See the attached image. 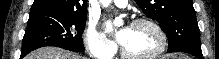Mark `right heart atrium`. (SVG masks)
<instances>
[{
    "label": "right heart atrium",
    "mask_w": 219,
    "mask_h": 59,
    "mask_svg": "<svg viewBox=\"0 0 219 59\" xmlns=\"http://www.w3.org/2000/svg\"><path fill=\"white\" fill-rule=\"evenodd\" d=\"M84 45L88 54L96 59H108L114 55V43L98 28L95 22H90L84 33Z\"/></svg>",
    "instance_id": "right-heart-atrium-1"
}]
</instances>
